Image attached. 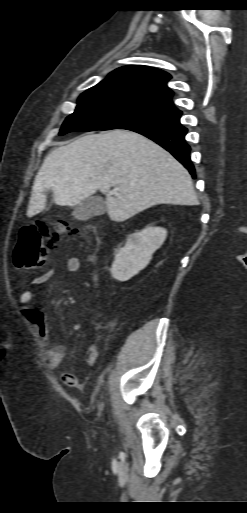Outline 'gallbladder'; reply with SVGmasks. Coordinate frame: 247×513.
<instances>
[{
  "label": "gallbladder",
  "mask_w": 247,
  "mask_h": 513,
  "mask_svg": "<svg viewBox=\"0 0 247 513\" xmlns=\"http://www.w3.org/2000/svg\"><path fill=\"white\" fill-rule=\"evenodd\" d=\"M105 211L106 204L103 199L99 196H91L74 206L72 215L77 220L86 221L104 214Z\"/></svg>",
  "instance_id": "gallbladder-1"
}]
</instances>
